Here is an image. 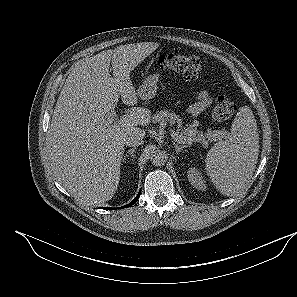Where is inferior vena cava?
Masks as SVG:
<instances>
[{
    "label": "inferior vena cava",
    "instance_id": "obj_1",
    "mask_svg": "<svg viewBox=\"0 0 297 297\" xmlns=\"http://www.w3.org/2000/svg\"><path fill=\"white\" fill-rule=\"evenodd\" d=\"M124 143L130 147L140 146L144 143V134L141 131L131 132L125 137Z\"/></svg>",
    "mask_w": 297,
    "mask_h": 297
}]
</instances>
